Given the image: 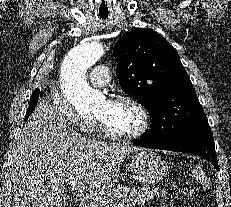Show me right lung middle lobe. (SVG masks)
Instances as JSON below:
<instances>
[{
    "label": "right lung middle lobe",
    "instance_id": "obj_1",
    "mask_svg": "<svg viewBox=\"0 0 231 207\" xmlns=\"http://www.w3.org/2000/svg\"><path fill=\"white\" fill-rule=\"evenodd\" d=\"M39 94H40V95H39ZM32 95L38 97V96H41V95H42V92H40L39 89H36Z\"/></svg>",
    "mask_w": 231,
    "mask_h": 207
}]
</instances>
